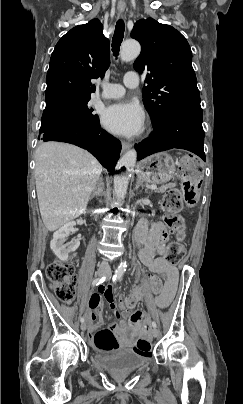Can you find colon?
Wrapping results in <instances>:
<instances>
[{
  "mask_svg": "<svg viewBox=\"0 0 243 404\" xmlns=\"http://www.w3.org/2000/svg\"><path fill=\"white\" fill-rule=\"evenodd\" d=\"M179 169L181 187L167 191L162 201L165 223L177 235V240L170 242L166 247V260L170 264L179 263L186 252L181 242L184 236V221L179 212L184 204L192 207L197 203L202 183L201 167L192 156L182 158ZM46 276L58 299L63 302H70L73 299L77 280L73 263L53 261L46 268ZM161 289L160 279L150 275L141 287L133 290L120 301V308L125 315L129 316L134 313L133 310L142 296L151 293L157 294ZM93 341L96 348L104 351L115 350L118 347V341L110 329L98 331L94 335ZM136 347L139 351L148 353L151 350V341L145 337L140 338Z\"/></svg>",
  "mask_w": 243,
  "mask_h": 404,
  "instance_id": "1",
  "label": "colon"
}]
</instances>
